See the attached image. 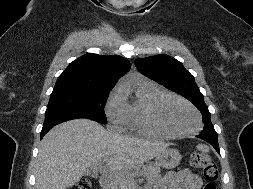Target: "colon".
Returning <instances> with one entry per match:
<instances>
[{"instance_id":"obj_1","label":"colon","mask_w":253,"mask_h":189,"mask_svg":"<svg viewBox=\"0 0 253 189\" xmlns=\"http://www.w3.org/2000/svg\"><path fill=\"white\" fill-rule=\"evenodd\" d=\"M190 164L206 179L204 189H216L215 181L218 177V168L207 154L202 152L192 153ZM68 189H91V183L88 179H81Z\"/></svg>"}]
</instances>
